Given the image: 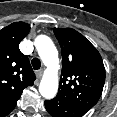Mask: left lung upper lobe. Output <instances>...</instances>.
Returning a JSON list of instances; mask_svg holds the SVG:
<instances>
[{"mask_svg":"<svg viewBox=\"0 0 117 117\" xmlns=\"http://www.w3.org/2000/svg\"><path fill=\"white\" fill-rule=\"evenodd\" d=\"M62 49V73L57 97L88 112L99 100L105 68L97 49L71 28H54Z\"/></svg>","mask_w":117,"mask_h":117,"instance_id":"left-lung-upper-lobe-1","label":"left lung upper lobe"}]
</instances>
